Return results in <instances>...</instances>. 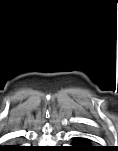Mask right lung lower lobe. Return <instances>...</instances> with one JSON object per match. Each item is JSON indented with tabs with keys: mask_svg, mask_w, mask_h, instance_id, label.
Returning a JSON list of instances; mask_svg holds the SVG:
<instances>
[{
	"mask_svg": "<svg viewBox=\"0 0 118 151\" xmlns=\"http://www.w3.org/2000/svg\"><path fill=\"white\" fill-rule=\"evenodd\" d=\"M6 150H25V149L20 146H12L10 149L7 148Z\"/></svg>",
	"mask_w": 118,
	"mask_h": 151,
	"instance_id": "98d812e1",
	"label": "right lung lower lobe"
}]
</instances>
